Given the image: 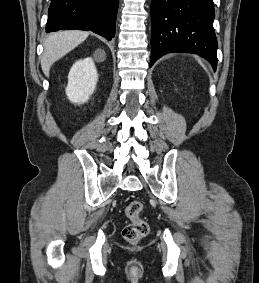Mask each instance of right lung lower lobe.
Segmentation results:
<instances>
[{
    "label": "right lung lower lobe",
    "mask_w": 259,
    "mask_h": 283,
    "mask_svg": "<svg viewBox=\"0 0 259 283\" xmlns=\"http://www.w3.org/2000/svg\"><path fill=\"white\" fill-rule=\"evenodd\" d=\"M118 4L119 0H52L46 32L90 30L110 41L115 34Z\"/></svg>",
    "instance_id": "98d812e1"
}]
</instances>
